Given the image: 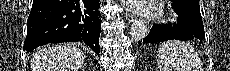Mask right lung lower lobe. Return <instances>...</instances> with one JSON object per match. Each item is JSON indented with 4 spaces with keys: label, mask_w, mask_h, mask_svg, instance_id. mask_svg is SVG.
I'll return each instance as SVG.
<instances>
[{
    "label": "right lung lower lobe",
    "mask_w": 230,
    "mask_h": 71,
    "mask_svg": "<svg viewBox=\"0 0 230 71\" xmlns=\"http://www.w3.org/2000/svg\"><path fill=\"white\" fill-rule=\"evenodd\" d=\"M99 0H33L24 50L48 43L81 41L99 55Z\"/></svg>",
    "instance_id": "98d812e1"
}]
</instances>
